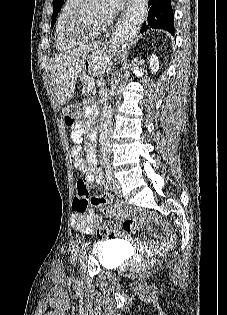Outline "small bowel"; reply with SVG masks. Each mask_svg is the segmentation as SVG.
<instances>
[{"label": "small bowel", "mask_w": 227, "mask_h": 315, "mask_svg": "<svg viewBox=\"0 0 227 315\" xmlns=\"http://www.w3.org/2000/svg\"><path fill=\"white\" fill-rule=\"evenodd\" d=\"M71 139L74 142V145L71 148L74 167L84 174L88 183L92 184L95 188L102 187L103 178L102 173L97 166V158L94 146L90 145L88 147L86 159L82 157L83 129L80 124L73 127ZM105 199L106 214L108 216L120 219L126 214V207L124 205L113 203L108 192L105 194ZM101 219L102 217L96 216L93 209H89L83 214L74 213L71 219V225L73 229L79 232L91 234L94 232L95 226L101 221ZM161 226L164 230V236L151 245V249L154 251L164 250L168 248L174 241V235L170 226L165 222H161Z\"/></svg>", "instance_id": "c3829d8e"}]
</instances>
